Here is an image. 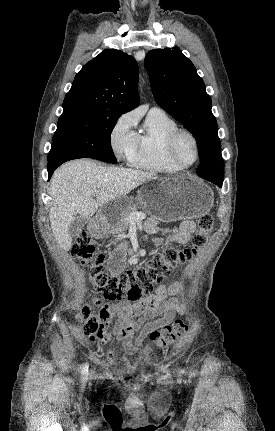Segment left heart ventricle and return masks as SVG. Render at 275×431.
I'll list each match as a JSON object with an SVG mask.
<instances>
[{
    "label": "left heart ventricle",
    "instance_id": "left-heart-ventricle-1",
    "mask_svg": "<svg viewBox=\"0 0 275 431\" xmlns=\"http://www.w3.org/2000/svg\"><path fill=\"white\" fill-rule=\"evenodd\" d=\"M177 158L183 164H189L194 160L195 150L192 141L187 136H181L176 145Z\"/></svg>",
    "mask_w": 275,
    "mask_h": 431
}]
</instances>
